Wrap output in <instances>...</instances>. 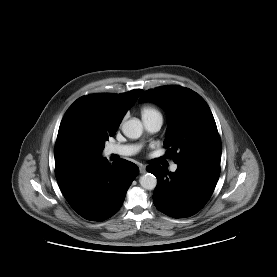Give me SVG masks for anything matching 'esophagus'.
Masks as SVG:
<instances>
[{"label": "esophagus", "instance_id": "1", "mask_svg": "<svg viewBox=\"0 0 277 277\" xmlns=\"http://www.w3.org/2000/svg\"><path fill=\"white\" fill-rule=\"evenodd\" d=\"M139 170H140V173H142V174L146 173V166L145 165H140Z\"/></svg>", "mask_w": 277, "mask_h": 277}]
</instances>
